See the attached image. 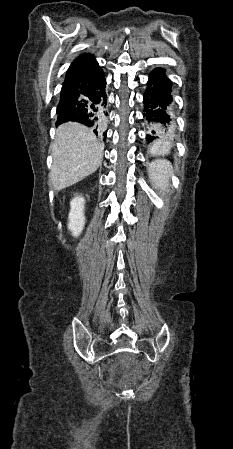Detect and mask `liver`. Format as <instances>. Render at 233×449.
<instances>
[{"mask_svg": "<svg viewBox=\"0 0 233 449\" xmlns=\"http://www.w3.org/2000/svg\"><path fill=\"white\" fill-rule=\"evenodd\" d=\"M52 156L49 183L59 191L98 169L103 158V146L91 129L77 122H68L57 128Z\"/></svg>", "mask_w": 233, "mask_h": 449, "instance_id": "liver-1", "label": "liver"}]
</instances>
